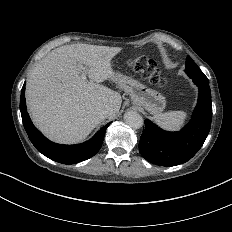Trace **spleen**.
<instances>
[{
	"mask_svg": "<svg viewBox=\"0 0 232 232\" xmlns=\"http://www.w3.org/2000/svg\"><path fill=\"white\" fill-rule=\"evenodd\" d=\"M184 116L182 111L167 110L157 114L155 118L163 127L173 129L181 125Z\"/></svg>",
	"mask_w": 232,
	"mask_h": 232,
	"instance_id": "spleen-1",
	"label": "spleen"
}]
</instances>
